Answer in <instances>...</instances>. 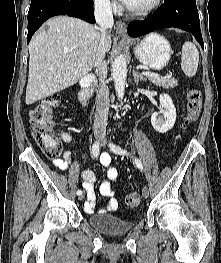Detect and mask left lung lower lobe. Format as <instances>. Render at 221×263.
Segmentation results:
<instances>
[{
	"mask_svg": "<svg viewBox=\"0 0 221 263\" xmlns=\"http://www.w3.org/2000/svg\"><path fill=\"white\" fill-rule=\"evenodd\" d=\"M168 27L192 33L204 49L196 0H165L161 7L145 20L129 23L127 32L132 37H139Z\"/></svg>",
	"mask_w": 221,
	"mask_h": 263,
	"instance_id": "1",
	"label": "left lung lower lobe"
}]
</instances>
